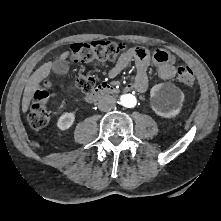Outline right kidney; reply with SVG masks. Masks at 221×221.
Wrapping results in <instances>:
<instances>
[{
  "label": "right kidney",
  "mask_w": 221,
  "mask_h": 221,
  "mask_svg": "<svg viewBox=\"0 0 221 221\" xmlns=\"http://www.w3.org/2000/svg\"><path fill=\"white\" fill-rule=\"evenodd\" d=\"M74 120L75 115L73 113H64L59 117L57 127L62 131L67 130L73 125Z\"/></svg>",
  "instance_id": "ca27d5eb"
}]
</instances>
